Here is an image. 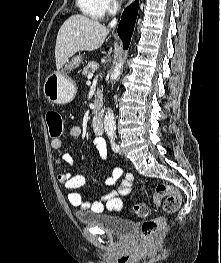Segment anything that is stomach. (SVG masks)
<instances>
[{"mask_svg":"<svg viewBox=\"0 0 221 263\" xmlns=\"http://www.w3.org/2000/svg\"><path fill=\"white\" fill-rule=\"evenodd\" d=\"M80 56H76L68 65L67 69H72L79 65ZM77 88L64 72L56 71L49 74L44 82L43 92L45 97L55 104H67L71 102L76 94Z\"/></svg>","mask_w":221,"mask_h":263,"instance_id":"obj_1","label":"stomach"}]
</instances>
